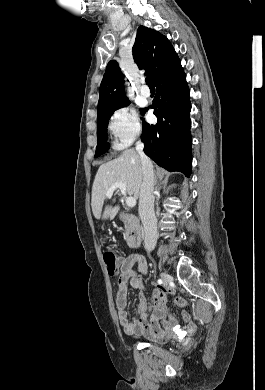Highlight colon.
I'll return each instance as SVG.
<instances>
[{
  "label": "colon",
  "instance_id": "colon-1",
  "mask_svg": "<svg viewBox=\"0 0 265 390\" xmlns=\"http://www.w3.org/2000/svg\"><path fill=\"white\" fill-rule=\"evenodd\" d=\"M103 260L109 275L113 276L119 272L120 260L112 251H105L103 253ZM175 303L180 307H185L187 305L186 301L182 297H176Z\"/></svg>",
  "mask_w": 265,
  "mask_h": 390
}]
</instances>
